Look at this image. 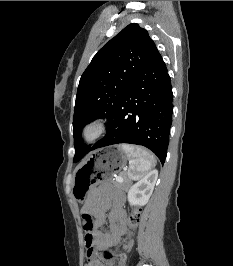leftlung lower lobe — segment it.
Segmentation results:
<instances>
[{
	"instance_id": "1",
	"label": "left lung lower lobe",
	"mask_w": 233,
	"mask_h": 266,
	"mask_svg": "<svg viewBox=\"0 0 233 266\" xmlns=\"http://www.w3.org/2000/svg\"><path fill=\"white\" fill-rule=\"evenodd\" d=\"M173 114L170 76L157 48L110 118L104 138L87 152L113 144L143 145L165 162Z\"/></svg>"
}]
</instances>
